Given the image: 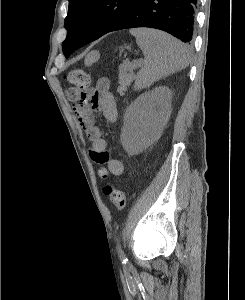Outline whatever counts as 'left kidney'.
I'll list each match as a JSON object with an SVG mask.
<instances>
[{"mask_svg": "<svg viewBox=\"0 0 245 300\" xmlns=\"http://www.w3.org/2000/svg\"><path fill=\"white\" fill-rule=\"evenodd\" d=\"M170 101L171 92L159 87L141 95L126 109L121 142L130 155L138 154L160 135L169 116Z\"/></svg>", "mask_w": 245, "mask_h": 300, "instance_id": "obj_1", "label": "left kidney"}]
</instances>
